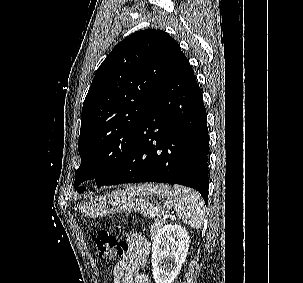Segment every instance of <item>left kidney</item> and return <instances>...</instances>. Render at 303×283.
Here are the masks:
<instances>
[{
    "label": "left kidney",
    "instance_id": "5707ae66",
    "mask_svg": "<svg viewBox=\"0 0 303 283\" xmlns=\"http://www.w3.org/2000/svg\"><path fill=\"white\" fill-rule=\"evenodd\" d=\"M189 235L179 225H165L152 243V272L155 283H172L181 271L189 248Z\"/></svg>",
    "mask_w": 303,
    "mask_h": 283
}]
</instances>
